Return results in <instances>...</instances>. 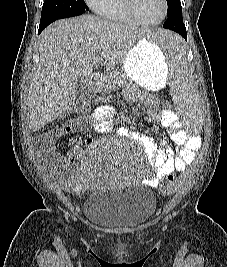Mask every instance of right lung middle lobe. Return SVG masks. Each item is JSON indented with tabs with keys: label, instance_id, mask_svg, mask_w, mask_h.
I'll return each mask as SVG.
<instances>
[{
	"label": "right lung middle lobe",
	"instance_id": "1",
	"mask_svg": "<svg viewBox=\"0 0 227 267\" xmlns=\"http://www.w3.org/2000/svg\"><path fill=\"white\" fill-rule=\"evenodd\" d=\"M88 11L84 0H45L41 16Z\"/></svg>",
	"mask_w": 227,
	"mask_h": 267
}]
</instances>
